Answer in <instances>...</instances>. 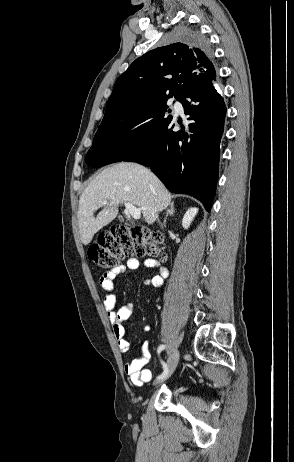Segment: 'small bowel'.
<instances>
[{"instance_id":"c3829d8e","label":"small bowel","mask_w":294,"mask_h":462,"mask_svg":"<svg viewBox=\"0 0 294 462\" xmlns=\"http://www.w3.org/2000/svg\"><path fill=\"white\" fill-rule=\"evenodd\" d=\"M141 263L146 268L159 267V274L145 280V284L153 286L154 288H161L163 286L164 279L168 276L167 268L161 266L157 261L151 258H146ZM139 265L140 261L138 259L131 258L126 262V264L117 265L115 268L105 272L100 277L99 281L100 286L104 291V308L112 324L118 348L122 353H126L130 349V343L125 338V327L123 323L131 317L133 313V304L126 303L116 309L115 279L127 270L137 269ZM148 329L149 326L144 327V330ZM149 359V343L148 341H144L141 345V354L124 363V371L134 385L140 387L151 380L152 373L149 369L145 368Z\"/></svg>"}]
</instances>
